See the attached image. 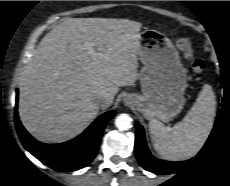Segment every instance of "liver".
Here are the masks:
<instances>
[{
	"instance_id": "6515ba94",
	"label": "liver",
	"mask_w": 230,
	"mask_h": 186,
	"mask_svg": "<svg viewBox=\"0 0 230 186\" xmlns=\"http://www.w3.org/2000/svg\"><path fill=\"white\" fill-rule=\"evenodd\" d=\"M142 24L129 19L68 18L40 41L19 84V116L38 141L60 143L80 134L109 107L119 87L138 79ZM89 43L97 56L85 49ZM106 96L109 103H97Z\"/></svg>"
}]
</instances>
